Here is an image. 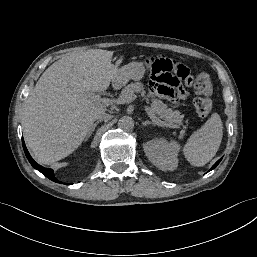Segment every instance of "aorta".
I'll list each match as a JSON object with an SVG mask.
<instances>
[{"mask_svg":"<svg viewBox=\"0 0 257 257\" xmlns=\"http://www.w3.org/2000/svg\"><path fill=\"white\" fill-rule=\"evenodd\" d=\"M118 127L123 130H131L134 127V121L130 116H123L118 121Z\"/></svg>","mask_w":257,"mask_h":257,"instance_id":"obj_1","label":"aorta"}]
</instances>
